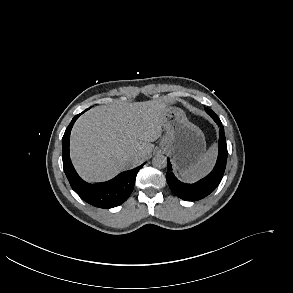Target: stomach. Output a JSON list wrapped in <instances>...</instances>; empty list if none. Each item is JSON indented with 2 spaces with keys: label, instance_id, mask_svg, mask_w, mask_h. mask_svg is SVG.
Returning a JSON list of instances; mask_svg holds the SVG:
<instances>
[{
  "label": "stomach",
  "instance_id": "obj_1",
  "mask_svg": "<svg viewBox=\"0 0 293 293\" xmlns=\"http://www.w3.org/2000/svg\"><path fill=\"white\" fill-rule=\"evenodd\" d=\"M166 135L160 143L179 170L195 164L205 153L206 141L201 129L191 123L183 110L170 107L162 116Z\"/></svg>",
  "mask_w": 293,
  "mask_h": 293
}]
</instances>
